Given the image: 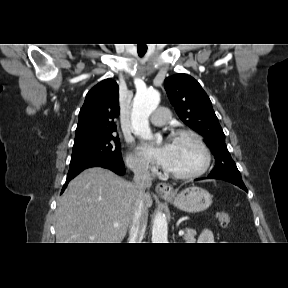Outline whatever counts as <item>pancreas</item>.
Listing matches in <instances>:
<instances>
[{
	"mask_svg": "<svg viewBox=\"0 0 288 288\" xmlns=\"http://www.w3.org/2000/svg\"><path fill=\"white\" fill-rule=\"evenodd\" d=\"M195 235H196L195 230L187 228L185 230L184 240L186 241V243H194Z\"/></svg>",
	"mask_w": 288,
	"mask_h": 288,
	"instance_id": "cf45deb5",
	"label": "pancreas"
}]
</instances>
